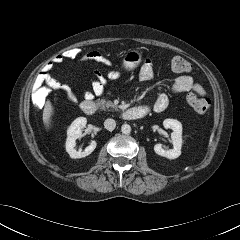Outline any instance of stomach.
I'll return each mask as SVG.
<instances>
[{"label":"stomach","mask_w":240,"mask_h":240,"mask_svg":"<svg viewBox=\"0 0 240 240\" xmlns=\"http://www.w3.org/2000/svg\"><path fill=\"white\" fill-rule=\"evenodd\" d=\"M142 60V53L135 49L128 50L123 56V66L126 70L135 69Z\"/></svg>","instance_id":"0dacf381"}]
</instances>
